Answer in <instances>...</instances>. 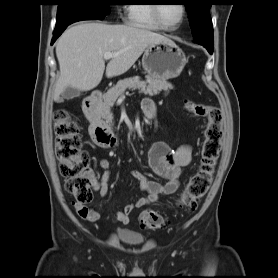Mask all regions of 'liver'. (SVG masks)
Segmentation results:
<instances>
[{
  "label": "liver",
  "mask_w": 278,
  "mask_h": 278,
  "mask_svg": "<svg viewBox=\"0 0 278 278\" xmlns=\"http://www.w3.org/2000/svg\"><path fill=\"white\" fill-rule=\"evenodd\" d=\"M163 35L135 25L81 23L67 29L56 45L60 76L54 101L67 87L90 91L101 82L105 70L104 53H119L106 67L108 78L127 72L148 45L167 41Z\"/></svg>",
  "instance_id": "1"
}]
</instances>
